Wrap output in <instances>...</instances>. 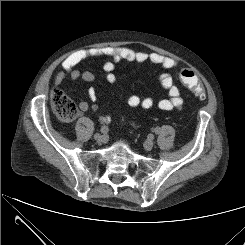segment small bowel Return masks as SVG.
Listing matches in <instances>:
<instances>
[{"label":"small bowel","instance_id":"small-bowel-1","mask_svg":"<svg viewBox=\"0 0 245 245\" xmlns=\"http://www.w3.org/2000/svg\"><path fill=\"white\" fill-rule=\"evenodd\" d=\"M108 57L110 60L105 62L104 70L106 72V80L113 84L117 81L115 74L117 64L120 62L128 63H146L150 62L154 65H159L164 69H172L177 66V61L174 58L167 57L158 53L136 52L126 47H105L100 49H90L78 51L68 56L62 63V71L59 72L54 81L56 84L61 83L67 76L72 79H82L85 82H91L94 79V74L90 71H80L76 66L82 61L89 58ZM162 89L167 93V97L158 102V107L164 111L180 110L183 106V99L178 86L174 83L171 75L163 73L159 77ZM88 96L91 101H96L97 92L94 88L88 90ZM154 105L151 97H141L137 94H132L127 99V106L130 109L141 108L150 110ZM81 111H87L89 104L86 101L79 102ZM92 109L96 110L97 106L92 105ZM102 122H110L109 116H102Z\"/></svg>","mask_w":245,"mask_h":245}]
</instances>
